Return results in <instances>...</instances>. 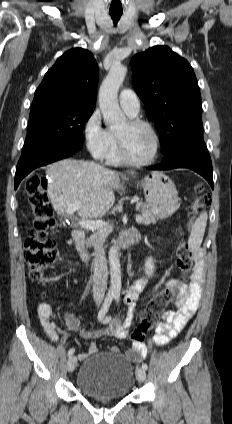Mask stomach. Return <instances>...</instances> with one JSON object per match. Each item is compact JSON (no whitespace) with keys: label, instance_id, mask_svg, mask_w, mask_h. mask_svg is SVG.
I'll return each mask as SVG.
<instances>
[{"label":"stomach","instance_id":"0dacf381","mask_svg":"<svg viewBox=\"0 0 232 424\" xmlns=\"http://www.w3.org/2000/svg\"><path fill=\"white\" fill-rule=\"evenodd\" d=\"M144 190L148 208L164 219L179 208V197L173 181L160 172H153L139 183Z\"/></svg>","mask_w":232,"mask_h":424}]
</instances>
